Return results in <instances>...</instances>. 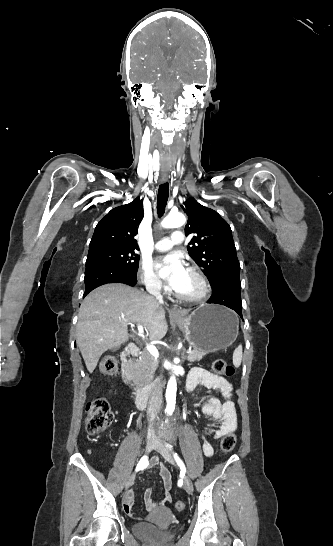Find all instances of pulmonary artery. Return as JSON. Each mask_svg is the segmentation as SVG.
<instances>
[{
  "instance_id": "obj_1",
  "label": "pulmonary artery",
  "mask_w": 333,
  "mask_h": 546,
  "mask_svg": "<svg viewBox=\"0 0 333 546\" xmlns=\"http://www.w3.org/2000/svg\"><path fill=\"white\" fill-rule=\"evenodd\" d=\"M184 241V234L181 231H174L170 238H163L154 244L155 250L164 252L170 250L174 245Z\"/></svg>"
}]
</instances>
